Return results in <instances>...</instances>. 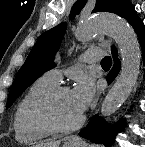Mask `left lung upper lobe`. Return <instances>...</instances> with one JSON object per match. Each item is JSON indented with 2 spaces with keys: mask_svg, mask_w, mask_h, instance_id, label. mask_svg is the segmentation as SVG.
<instances>
[{
  "mask_svg": "<svg viewBox=\"0 0 145 147\" xmlns=\"http://www.w3.org/2000/svg\"><path fill=\"white\" fill-rule=\"evenodd\" d=\"M86 0L74 3L70 18L72 19L84 7ZM131 5L128 0H96L92 12H111L121 17ZM66 31V23H61L44 32L30 51L25 63L20 68L9 92L7 105L9 108L16 98L25 91L43 73L55 67L53 58L58 51Z\"/></svg>",
  "mask_w": 145,
  "mask_h": 147,
  "instance_id": "5c2ea615",
  "label": "left lung upper lobe"
}]
</instances>
